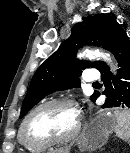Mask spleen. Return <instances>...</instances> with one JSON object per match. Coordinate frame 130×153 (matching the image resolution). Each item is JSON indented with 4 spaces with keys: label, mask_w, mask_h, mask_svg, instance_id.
Returning <instances> with one entry per match:
<instances>
[{
    "label": "spleen",
    "mask_w": 130,
    "mask_h": 153,
    "mask_svg": "<svg viewBox=\"0 0 130 153\" xmlns=\"http://www.w3.org/2000/svg\"><path fill=\"white\" fill-rule=\"evenodd\" d=\"M115 117H116V127H115V133L116 135L130 143V110H115L114 111Z\"/></svg>",
    "instance_id": "spleen-1"
}]
</instances>
